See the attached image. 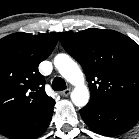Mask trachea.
I'll return each mask as SVG.
<instances>
[{
	"label": "trachea",
	"instance_id": "3493384b",
	"mask_svg": "<svg viewBox=\"0 0 139 139\" xmlns=\"http://www.w3.org/2000/svg\"><path fill=\"white\" fill-rule=\"evenodd\" d=\"M52 89L55 91L65 90L66 89L65 81L60 77L54 78V80L52 82Z\"/></svg>",
	"mask_w": 139,
	"mask_h": 139
}]
</instances>
